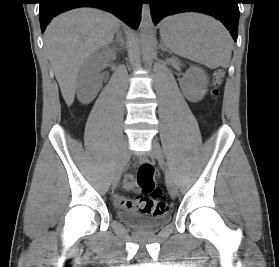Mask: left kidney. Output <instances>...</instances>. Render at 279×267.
<instances>
[{
    "label": "left kidney",
    "mask_w": 279,
    "mask_h": 267,
    "mask_svg": "<svg viewBox=\"0 0 279 267\" xmlns=\"http://www.w3.org/2000/svg\"><path fill=\"white\" fill-rule=\"evenodd\" d=\"M186 98L191 102H199L207 92L208 77L204 70L198 67H192L184 76V82L181 84Z\"/></svg>",
    "instance_id": "left-kidney-1"
}]
</instances>
